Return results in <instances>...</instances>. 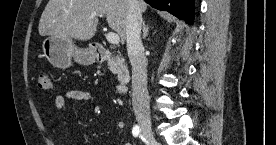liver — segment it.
<instances>
[{"instance_id":"1","label":"liver","mask_w":276,"mask_h":145,"mask_svg":"<svg viewBox=\"0 0 276 145\" xmlns=\"http://www.w3.org/2000/svg\"><path fill=\"white\" fill-rule=\"evenodd\" d=\"M138 3L140 11L145 12L147 4L142 0ZM127 13V0H49L38 31L41 36L60 35L87 41L96 33L98 18L105 15L109 27L124 43Z\"/></svg>"}]
</instances>
